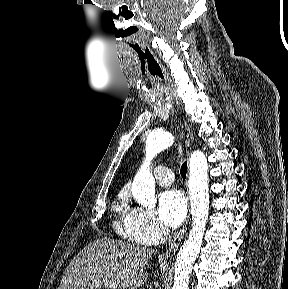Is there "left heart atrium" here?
Wrapping results in <instances>:
<instances>
[{
    "instance_id": "1",
    "label": "left heart atrium",
    "mask_w": 288,
    "mask_h": 289,
    "mask_svg": "<svg viewBox=\"0 0 288 289\" xmlns=\"http://www.w3.org/2000/svg\"><path fill=\"white\" fill-rule=\"evenodd\" d=\"M186 199L178 189L163 191L158 197V216L167 226L177 227L185 218Z\"/></svg>"
}]
</instances>
